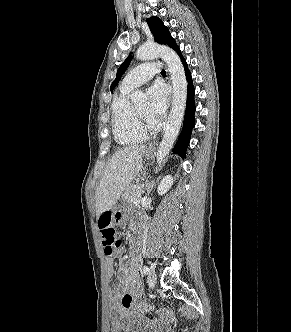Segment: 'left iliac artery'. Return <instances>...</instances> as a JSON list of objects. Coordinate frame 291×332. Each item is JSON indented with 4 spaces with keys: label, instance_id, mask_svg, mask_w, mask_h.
I'll use <instances>...</instances> for the list:
<instances>
[{
    "label": "left iliac artery",
    "instance_id": "1",
    "mask_svg": "<svg viewBox=\"0 0 291 332\" xmlns=\"http://www.w3.org/2000/svg\"><path fill=\"white\" fill-rule=\"evenodd\" d=\"M142 272L146 275V274H148V272H149V268L146 266V265H144L143 267H142Z\"/></svg>",
    "mask_w": 291,
    "mask_h": 332
}]
</instances>
